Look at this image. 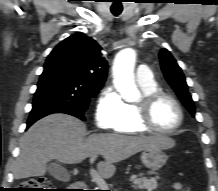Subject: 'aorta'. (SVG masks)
<instances>
[{"mask_svg": "<svg viewBox=\"0 0 218 191\" xmlns=\"http://www.w3.org/2000/svg\"><path fill=\"white\" fill-rule=\"evenodd\" d=\"M136 53L131 48L120 51L114 60V84L121 97L126 102H135L140 97V92L134 80V66Z\"/></svg>", "mask_w": 218, "mask_h": 191, "instance_id": "aorta-1", "label": "aorta"}]
</instances>
